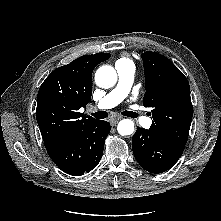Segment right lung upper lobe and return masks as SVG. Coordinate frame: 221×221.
<instances>
[{
	"instance_id": "1",
	"label": "right lung upper lobe",
	"mask_w": 221,
	"mask_h": 221,
	"mask_svg": "<svg viewBox=\"0 0 221 221\" xmlns=\"http://www.w3.org/2000/svg\"><path fill=\"white\" fill-rule=\"evenodd\" d=\"M109 57V53L81 56L54 70L40 86L36 119L47 152L96 121L78 110L91 99L95 66Z\"/></svg>"
}]
</instances>
